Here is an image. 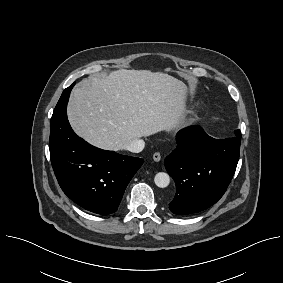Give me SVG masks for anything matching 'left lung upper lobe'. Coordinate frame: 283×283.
I'll return each instance as SVG.
<instances>
[{
  "instance_id": "obj_1",
  "label": "left lung upper lobe",
  "mask_w": 283,
  "mask_h": 283,
  "mask_svg": "<svg viewBox=\"0 0 283 283\" xmlns=\"http://www.w3.org/2000/svg\"><path fill=\"white\" fill-rule=\"evenodd\" d=\"M235 134H236L237 137H241V132H240V130H236V131H235Z\"/></svg>"
}]
</instances>
